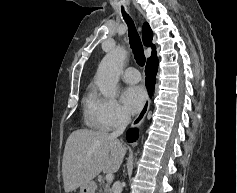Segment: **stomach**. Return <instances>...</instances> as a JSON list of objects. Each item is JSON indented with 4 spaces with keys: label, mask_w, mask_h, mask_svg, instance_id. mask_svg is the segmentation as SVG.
I'll list each match as a JSON object with an SVG mask.
<instances>
[{
    "label": "stomach",
    "mask_w": 237,
    "mask_h": 193,
    "mask_svg": "<svg viewBox=\"0 0 237 193\" xmlns=\"http://www.w3.org/2000/svg\"><path fill=\"white\" fill-rule=\"evenodd\" d=\"M96 185L94 182L90 181L80 187L79 193H95Z\"/></svg>",
    "instance_id": "0dacf381"
}]
</instances>
